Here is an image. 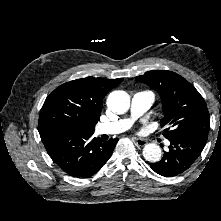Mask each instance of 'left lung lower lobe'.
Wrapping results in <instances>:
<instances>
[{"label":"left lung lower lobe","instance_id":"obj_1","mask_svg":"<svg viewBox=\"0 0 221 221\" xmlns=\"http://www.w3.org/2000/svg\"><path fill=\"white\" fill-rule=\"evenodd\" d=\"M207 137L208 133L193 132L168 139L171 143L169 151L164 153L161 161L151 164V169L165 177H174L184 173L201 154Z\"/></svg>","mask_w":221,"mask_h":221}]
</instances>
